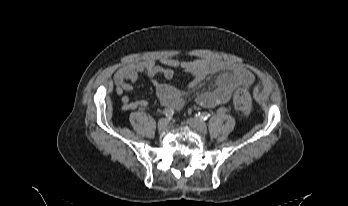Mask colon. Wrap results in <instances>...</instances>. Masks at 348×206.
<instances>
[{
  "instance_id": "5ec220e1",
  "label": "colon",
  "mask_w": 348,
  "mask_h": 206,
  "mask_svg": "<svg viewBox=\"0 0 348 206\" xmlns=\"http://www.w3.org/2000/svg\"><path fill=\"white\" fill-rule=\"evenodd\" d=\"M233 103L235 108L244 116L251 112V98L249 93L244 89H238L233 94Z\"/></svg>"
}]
</instances>
